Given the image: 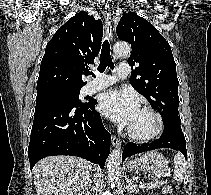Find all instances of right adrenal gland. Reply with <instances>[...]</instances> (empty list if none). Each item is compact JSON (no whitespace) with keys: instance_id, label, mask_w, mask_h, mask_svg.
Masks as SVG:
<instances>
[{"instance_id":"obj_1","label":"right adrenal gland","mask_w":211,"mask_h":195,"mask_svg":"<svg viewBox=\"0 0 211 195\" xmlns=\"http://www.w3.org/2000/svg\"><path fill=\"white\" fill-rule=\"evenodd\" d=\"M92 189H93V187L91 186V182H90V184H89L88 188L86 189V192H85L84 195H90V192L92 191Z\"/></svg>"}]
</instances>
